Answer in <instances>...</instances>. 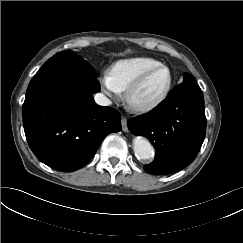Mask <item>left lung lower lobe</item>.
<instances>
[{
	"label": "left lung lower lobe",
	"mask_w": 243,
	"mask_h": 243,
	"mask_svg": "<svg viewBox=\"0 0 243 243\" xmlns=\"http://www.w3.org/2000/svg\"><path fill=\"white\" fill-rule=\"evenodd\" d=\"M134 135L153 144L156 155L144 169L154 175L177 172L193 162L206 132L203 93L196 81L173 88L150 112L128 120Z\"/></svg>",
	"instance_id": "0a47b994"
}]
</instances>
